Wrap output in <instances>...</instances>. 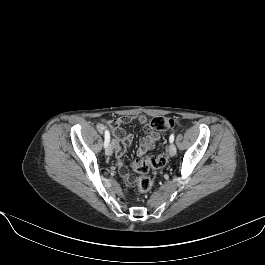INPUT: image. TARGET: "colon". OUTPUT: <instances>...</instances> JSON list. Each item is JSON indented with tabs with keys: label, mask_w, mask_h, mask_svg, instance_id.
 Masks as SVG:
<instances>
[{
	"label": "colon",
	"mask_w": 265,
	"mask_h": 265,
	"mask_svg": "<svg viewBox=\"0 0 265 265\" xmlns=\"http://www.w3.org/2000/svg\"><path fill=\"white\" fill-rule=\"evenodd\" d=\"M150 126L158 131H166L175 128L177 126V121L171 117L159 116L151 120ZM167 162L168 155L164 152L158 155L137 159L133 162V169L139 174L136 184L140 192H148L152 187V180L147 173L151 169L158 170L163 168Z\"/></svg>",
	"instance_id": "5ec220e1"
}]
</instances>
